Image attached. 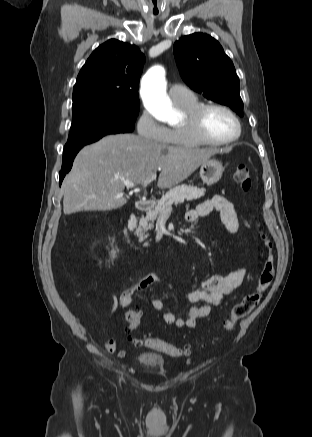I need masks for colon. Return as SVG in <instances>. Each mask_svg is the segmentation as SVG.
Listing matches in <instances>:
<instances>
[{"mask_svg": "<svg viewBox=\"0 0 312 437\" xmlns=\"http://www.w3.org/2000/svg\"><path fill=\"white\" fill-rule=\"evenodd\" d=\"M233 178L244 193H248L252 187V179L249 167L246 165H239L234 170ZM260 238L267 250L264 264L258 277L255 291L248 293L243 299L238 302L232 309L228 319L224 322V327L227 330L233 329L235 324L249 315L259 304L261 293L270 285L274 276L275 262L272 255L273 244L268 236L261 232ZM126 321L131 330H136L141 321V314L139 310L129 309L125 314ZM138 346H144L160 353L169 355L171 357H181L187 353V350L177 345L170 344L164 340L156 337L143 336L133 339Z\"/></svg>", "mask_w": 312, "mask_h": 437, "instance_id": "5ec220e1", "label": "colon"}]
</instances>
